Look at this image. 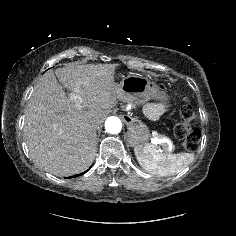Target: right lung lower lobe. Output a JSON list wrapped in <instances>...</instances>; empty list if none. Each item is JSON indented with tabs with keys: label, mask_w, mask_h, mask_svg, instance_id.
<instances>
[{
	"label": "right lung lower lobe",
	"mask_w": 236,
	"mask_h": 236,
	"mask_svg": "<svg viewBox=\"0 0 236 236\" xmlns=\"http://www.w3.org/2000/svg\"><path fill=\"white\" fill-rule=\"evenodd\" d=\"M81 174H78V175H74V176H71L69 178H73V177H77V176H80Z\"/></svg>",
	"instance_id": "98d812e1"
}]
</instances>
